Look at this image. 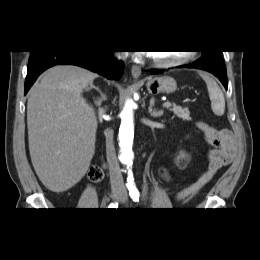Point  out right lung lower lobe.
Returning a JSON list of instances; mask_svg holds the SVG:
<instances>
[{
	"instance_id": "right-lung-lower-lobe-1",
	"label": "right lung lower lobe",
	"mask_w": 260,
	"mask_h": 260,
	"mask_svg": "<svg viewBox=\"0 0 260 260\" xmlns=\"http://www.w3.org/2000/svg\"><path fill=\"white\" fill-rule=\"evenodd\" d=\"M113 52L107 50L31 51L24 94L28 92L43 71L58 64L80 66L108 79H117L122 75L124 66L121 61L113 59Z\"/></svg>"
}]
</instances>
